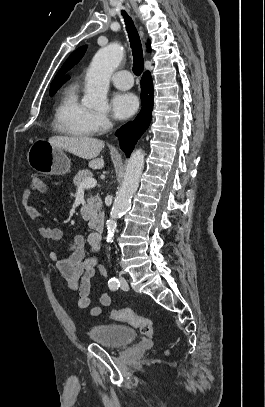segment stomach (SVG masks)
<instances>
[{
    "mask_svg": "<svg viewBox=\"0 0 265 407\" xmlns=\"http://www.w3.org/2000/svg\"><path fill=\"white\" fill-rule=\"evenodd\" d=\"M29 165L45 175H64L70 170V159L63 149L54 147L48 141H36L27 154Z\"/></svg>",
    "mask_w": 265,
    "mask_h": 407,
    "instance_id": "1",
    "label": "stomach"
}]
</instances>
